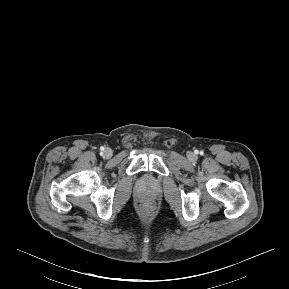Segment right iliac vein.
<instances>
[{"mask_svg":"<svg viewBox=\"0 0 289 289\" xmlns=\"http://www.w3.org/2000/svg\"><path fill=\"white\" fill-rule=\"evenodd\" d=\"M104 156H105L106 158H110V157L112 156V151H111L110 149H106V150L104 151Z\"/></svg>","mask_w":289,"mask_h":289,"instance_id":"obj_1","label":"right iliac vein"}]
</instances>
